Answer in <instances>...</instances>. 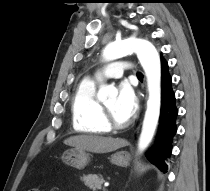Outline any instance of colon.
<instances>
[{"label":"colon","instance_id":"1","mask_svg":"<svg viewBox=\"0 0 210 191\" xmlns=\"http://www.w3.org/2000/svg\"><path fill=\"white\" fill-rule=\"evenodd\" d=\"M29 191H41V190L38 189V188H32V189H30Z\"/></svg>","mask_w":210,"mask_h":191}]
</instances>
